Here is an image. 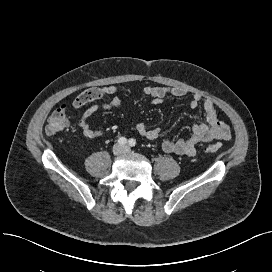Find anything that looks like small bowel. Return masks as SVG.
<instances>
[{
    "label": "small bowel",
    "instance_id": "obj_1",
    "mask_svg": "<svg viewBox=\"0 0 272 272\" xmlns=\"http://www.w3.org/2000/svg\"><path fill=\"white\" fill-rule=\"evenodd\" d=\"M118 91L115 85L92 87L83 91L73 103L75 109H80L83 106L98 101L106 96L114 95ZM144 94L151 98L153 104H160L165 97H184L188 94L187 90L182 87H155L147 86L144 88ZM202 105L206 122L197 123L193 126L191 134L188 138L173 140L172 138H164L162 141V149L167 153L178 155L194 156L196 154V145L201 142H212L215 140H229L231 132L229 126L223 122L218 115L215 103L206 99L203 100L198 94L191 97L190 107L192 109ZM62 107H68L64 105ZM122 105L118 98L103 103H95L84 110L77 120L78 127L83 135L93 139L104 135L101 130L94 129L89 118L99 110L114 111L121 109ZM141 136L147 139L155 140L161 136L160 128H148L144 123H138L133 128Z\"/></svg>",
    "mask_w": 272,
    "mask_h": 272
}]
</instances>
